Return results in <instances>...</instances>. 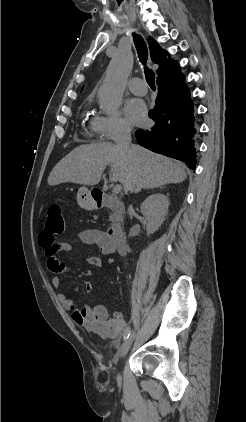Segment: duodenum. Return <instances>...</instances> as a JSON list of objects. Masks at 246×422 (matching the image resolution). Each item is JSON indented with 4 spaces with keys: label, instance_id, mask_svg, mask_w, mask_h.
Returning <instances> with one entry per match:
<instances>
[{
    "label": "duodenum",
    "instance_id": "1",
    "mask_svg": "<svg viewBox=\"0 0 246 422\" xmlns=\"http://www.w3.org/2000/svg\"><path fill=\"white\" fill-rule=\"evenodd\" d=\"M94 203L97 208H108L116 215L120 214L123 210V204L108 195H95ZM108 235L117 251L120 254H124L127 250V238L123 227L119 223H114L109 228Z\"/></svg>",
    "mask_w": 246,
    "mask_h": 422
}]
</instances>
